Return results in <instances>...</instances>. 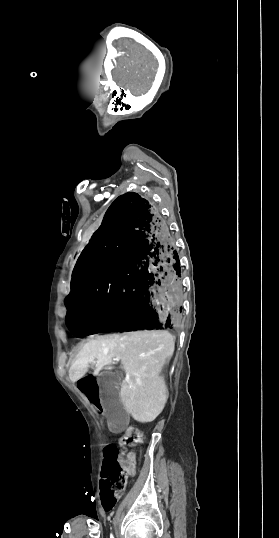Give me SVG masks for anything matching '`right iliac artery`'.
<instances>
[{
	"label": "right iliac artery",
	"instance_id": "right-iliac-artery-1",
	"mask_svg": "<svg viewBox=\"0 0 279 538\" xmlns=\"http://www.w3.org/2000/svg\"><path fill=\"white\" fill-rule=\"evenodd\" d=\"M110 538H114V537L112 536V534L110 535Z\"/></svg>",
	"mask_w": 279,
	"mask_h": 538
}]
</instances>
